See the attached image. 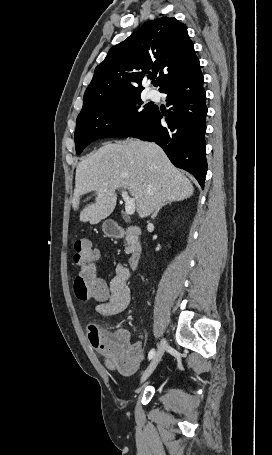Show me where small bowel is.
I'll list each match as a JSON object with an SVG mask.
<instances>
[{
	"label": "small bowel",
	"mask_w": 272,
	"mask_h": 455,
	"mask_svg": "<svg viewBox=\"0 0 272 455\" xmlns=\"http://www.w3.org/2000/svg\"><path fill=\"white\" fill-rule=\"evenodd\" d=\"M130 271L125 266L118 264L115 267V275L110 281L108 287V296L106 300L96 306V311L103 317H111L122 313L130 303V289L128 280ZM114 336L121 342L128 344L130 333L128 330L119 329ZM132 356L130 365L122 370L125 375L135 373L141 366L145 358V351L139 343L131 346Z\"/></svg>",
	"instance_id": "c3829d8e"
}]
</instances>
